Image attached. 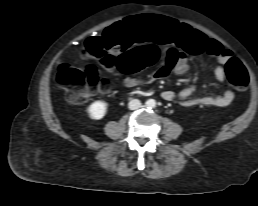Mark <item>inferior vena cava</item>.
Masks as SVG:
<instances>
[{"mask_svg": "<svg viewBox=\"0 0 258 206\" xmlns=\"http://www.w3.org/2000/svg\"><path fill=\"white\" fill-rule=\"evenodd\" d=\"M128 107H129L130 110H137L141 107V102L138 99H132L128 103Z\"/></svg>", "mask_w": 258, "mask_h": 206, "instance_id": "inferior-vena-cava-1", "label": "inferior vena cava"}]
</instances>
